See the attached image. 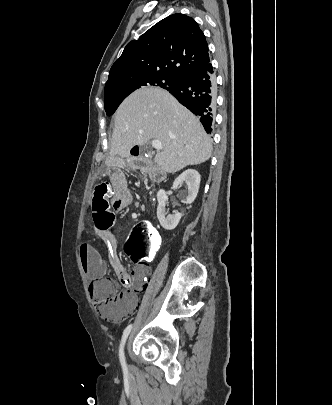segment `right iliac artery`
I'll return each instance as SVG.
<instances>
[{"instance_id": "obj_1", "label": "right iliac artery", "mask_w": 332, "mask_h": 405, "mask_svg": "<svg viewBox=\"0 0 332 405\" xmlns=\"http://www.w3.org/2000/svg\"><path fill=\"white\" fill-rule=\"evenodd\" d=\"M131 329H132V324L128 325L125 328V330L123 332L122 339H121L120 348H119V358H120V362H121V365H122V368H123L124 371L127 370V366H126V362H125V356H124V350L123 349H124V344L126 342V339H127L128 335H129Z\"/></svg>"}]
</instances>
